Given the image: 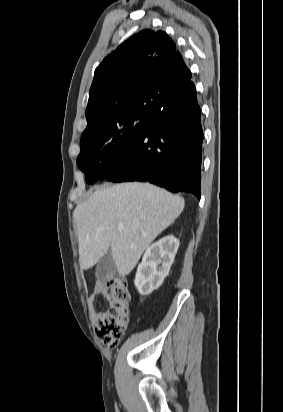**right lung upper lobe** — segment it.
I'll return each instance as SVG.
<instances>
[{
	"label": "right lung upper lobe",
	"mask_w": 283,
	"mask_h": 412,
	"mask_svg": "<svg viewBox=\"0 0 283 412\" xmlns=\"http://www.w3.org/2000/svg\"><path fill=\"white\" fill-rule=\"evenodd\" d=\"M175 49L166 33L143 30L108 55L95 70L82 136L133 105L164 103L190 80L191 72Z\"/></svg>",
	"instance_id": "obj_1"
}]
</instances>
